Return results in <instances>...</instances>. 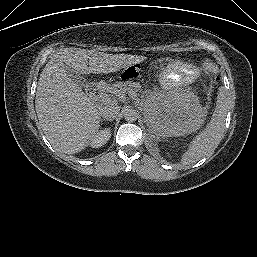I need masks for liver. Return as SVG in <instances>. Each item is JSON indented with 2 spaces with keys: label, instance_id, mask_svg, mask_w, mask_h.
I'll return each instance as SVG.
<instances>
[{
  "label": "liver",
  "instance_id": "liver-1",
  "mask_svg": "<svg viewBox=\"0 0 257 257\" xmlns=\"http://www.w3.org/2000/svg\"><path fill=\"white\" fill-rule=\"evenodd\" d=\"M140 56L92 53L87 49L65 48L44 67L37 85L35 107L46 138L58 151L76 154L85 149L100 127L98 107L72 81L66 66L80 74H106L141 61Z\"/></svg>",
  "mask_w": 257,
  "mask_h": 257
}]
</instances>
